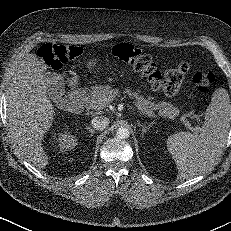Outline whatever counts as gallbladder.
I'll use <instances>...</instances> for the list:
<instances>
[{"label":"gallbladder","instance_id":"obj_1","mask_svg":"<svg viewBox=\"0 0 231 231\" xmlns=\"http://www.w3.org/2000/svg\"><path fill=\"white\" fill-rule=\"evenodd\" d=\"M47 81H48V87L51 92H54L56 88H59L61 90L62 88V78L57 73H45Z\"/></svg>","mask_w":231,"mask_h":231}]
</instances>
